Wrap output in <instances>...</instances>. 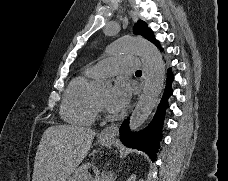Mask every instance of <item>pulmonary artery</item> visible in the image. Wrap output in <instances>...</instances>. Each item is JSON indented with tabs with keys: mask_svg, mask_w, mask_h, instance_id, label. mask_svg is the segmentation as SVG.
<instances>
[{
	"mask_svg": "<svg viewBox=\"0 0 228 181\" xmlns=\"http://www.w3.org/2000/svg\"><path fill=\"white\" fill-rule=\"evenodd\" d=\"M105 65H90V70H97L96 75H111L112 71H138V57L105 58Z\"/></svg>",
	"mask_w": 228,
	"mask_h": 181,
	"instance_id": "obj_1",
	"label": "pulmonary artery"
}]
</instances>
